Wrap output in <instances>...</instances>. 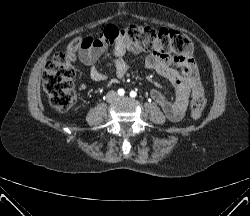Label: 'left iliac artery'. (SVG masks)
Returning a JSON list of instances; mask_svg holds the SVG:
<instances>
[{
  "label": "left iliac artery",
  "instance_id": "obj_1",
  "mask_svg": "<svg viewBox=\"0 0 250 216\" xmlns=\"http://www.w3.org/2000/svg\"><path fill=\"white\" fill-rule=\"evenodd\" d=\"M136 95H137V94H136L135 91H131V92H130V96H131L132 98L136 97Z\"/></svg>",
  "mask_w": 250,
  "mask_h": 216
}]
</instances>
